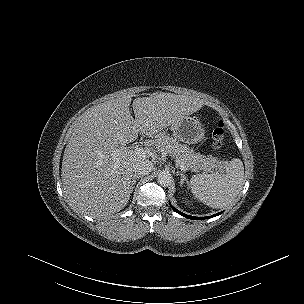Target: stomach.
Masks as SVG:
<instances>
[{
  "label": "stomach",
  "mask_w": 304,
  "mask_h": 304,
  "mask_svg": "<svg viewBox=\"0 0 304 304\" xmlns=\"http://www.w3.org/2000/svg\"><path fill=\"white\" fill-rule=\"evenodd\" d=\"M171 130L175 138L187 144L201 141L205 134L201 123L196 118L189 116L171 125Z\"/></svg>",
  "instance_id": "obj_1"
}]
</instances>
